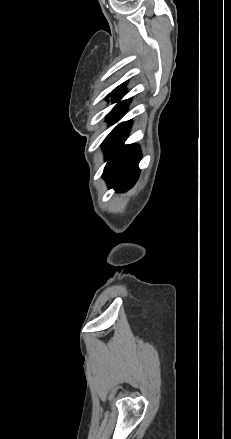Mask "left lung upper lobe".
Here are the masks:
<instances>
[{
    "label": "left lung upper lobe",
    "mask_w": 231,
    "mask_h": 439,
    "mask_svg": "<svg viewBox=\"0 0 231 439\" xmlns=\"http://www.w3.org/2000/svg\"><path fill=\"white\" fill-rule=\"evenodd\" d=\"M124 95L123 86H118L111 94L112 102L119 101Z\"/></svg>",
    "instance_id": "1"
}]
</instances>
